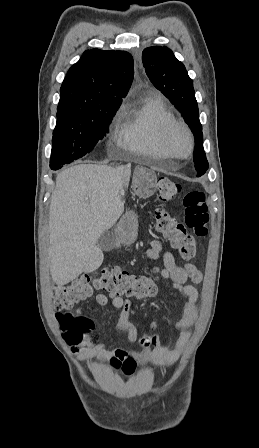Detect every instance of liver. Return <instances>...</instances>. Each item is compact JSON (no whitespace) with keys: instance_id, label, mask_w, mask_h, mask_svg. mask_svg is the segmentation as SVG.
Instances as JSON below:
<instances>
[{"instance_id":"obj_1","label":"liver","mask_w":259,"mask_h":448,"mask_svg":"<svg viewBox=\"0 0 259 448\" xmlns=\"http://www.w3.org/2000/svg\"><path fill=\"white\" fill-rule=\"evenodd\" d=\"M131 164L111 168L79 164L60 172L51 196L48 258L58 286L100 268L96 242L124 212L119 192L128 186Z\"/></svg>"}]
</instances>
